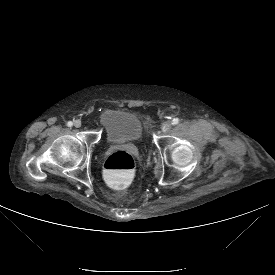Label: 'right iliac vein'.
Masks as SVG:
<instances>
[{
    "mask_svg": "<svg viewBox=\"0 0 275 275\" xmlns=\"http://www.w3.org/2000/svg\"><path fill=\"white\" fill-rule=\"evenodd\" d=\"M74 126H75L76 128L81 127V121H80V120H75V121H74Z\"/></svg>",
    "mask_w": 275,
    "mask_h": 275,
    "instance_id": "63e3f726",
    "label": "right iliac vein"
}]
</instances>
